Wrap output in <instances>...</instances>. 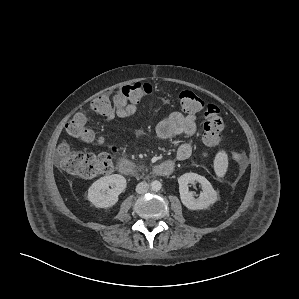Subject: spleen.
Returning <instances> with one entry per match:
<instances>
[{
    "mask_svg": "<svg viewBox=\"0 0 299 299\" xmlns=\"http://www.w3.org/2000/svg\"><path fill=\"white\" fill-rule=\"evenodd\" d=\"M228 168V155L225 151H219L214 159V169L218 177H223Z\"/></svg>",
    "mask_w": 299,
    "mask_h": 299,
    "instance_id": "3e777b00",
    "label": "spleen"
}]
</instances>
